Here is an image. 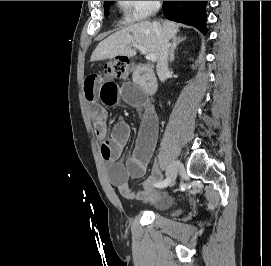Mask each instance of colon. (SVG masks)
Listing matches in <instances>:
<instances>
[{
  "label": "colon",
  "instance_id": "obj_1",
  "mask_svg": "<svg viewBox=\"0 0 271 266\" xmlns=\"http://www.w3.org/2000/svg\"><path fill=\"white\" fill-rule=\"evenodd\" d=\"M129 62L125 58H117L107 62L104 66V72L112 78H124L128 74Z\"/></svg>",
  "mask_w": 271,
  "mask_h": 266
}]
</instances>
